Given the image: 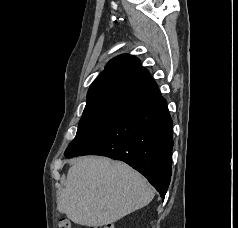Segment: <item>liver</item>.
I'll return each mask as SVG.
<instances>
[{
    "mask_svg": "<svg viewBox=\"0 0 238 228\" xmlns=\"http://www.w3.org/2000/svg\"><path fill=\"white\" fill-rule=\"evenodd\" d=\"M154 191L137 171L106 157H82L68 170L57 209L72 222L97 227L148 205Z\"/></svg>",
    "mask_w": 238,
    "mask_h": 228,
    "instance_id": "6515ba94",
    "label": "liver"
}]
</instances>
